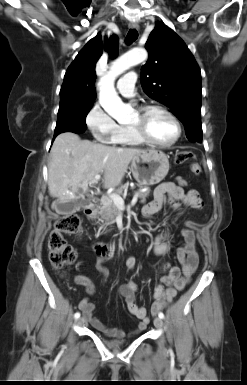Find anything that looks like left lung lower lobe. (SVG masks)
I'll return each mask as SVG.
<instances>
[{
	"label": "left lung lower lobe",
	"instance_id": "obj_1",
	"mask_svg": "<svg viewBox=\"0 0 247 385\" xmlns=\"http://www.w3.org/2000/svg\"><path fill=\"white\" fill-rule=\"evenodd\" d=\"M190 141L201 143L202 138H193V139H191Z\"/></svg>",
	"mask_w": 247,
	"mask_h": 385
}]
</instances>
